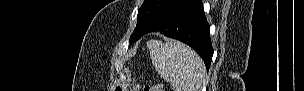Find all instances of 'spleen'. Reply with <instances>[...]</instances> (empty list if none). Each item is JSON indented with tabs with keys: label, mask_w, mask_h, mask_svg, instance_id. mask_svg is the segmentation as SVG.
Returning a JSON list of instances; mask_svg holds the SVG:
<instances>
[{
	"label": "spleen",
	"mask_w": 304,
	"mask_h": 91,
	"mask_svg": "<svg viewBox=\"0 0 304 91\" xmlns=\"http://www.w3.org/2000/svg\"><path fill=\"white\" fill-rule=\"evenodd\" d=\"M152 64L174 91H198L205 78V66L198 54L187 45L168 40L149 43Z\"/></svg>",
	"instance_id": "obj_1"
}]
</instances>
